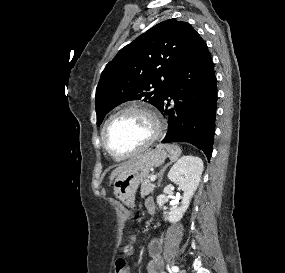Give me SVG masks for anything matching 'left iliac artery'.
<instances>
[{
  "label": "left iliac artery",
  "instance_id": "left-iliac-artery-1",
  "mask_svg": "<svg viewBox=\"0 0 285 273\" xmlns=\"http://www.w3.org/2000/svg\"><path fill=\"white\" fill-rule=\"evenodd\" d=\"M171 271L177 273L179 271V268L177 266H172Z\"/></svg>",
  "mask_w": 285,
  "mask_h": 273
}]
</instances>
